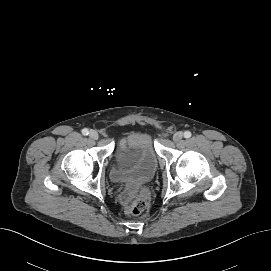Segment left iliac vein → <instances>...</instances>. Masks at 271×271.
I'll return each instance as SVG.
<instances>
[{
    "mask_svg": "<svg viewBox=\"0 0 271 271\" xmlns=\"http://www.w3.org/2000/svg\"><path fill=\"white\" fill-rule=\"evenodd\" d=\"M183 138V133L178 131L173 135L174 142H180Z\"/></svg>",
    "mask_w": 271,
    "mask_h": 271,
    "instance_id": "left-iliac-vein-1",
    "label": "left iliac vein"
}]
</instances>
